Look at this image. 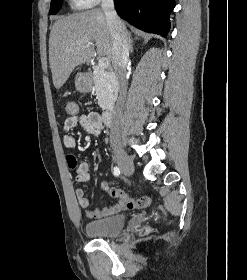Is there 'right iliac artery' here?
Returning a JSON list of instances; mask_svg holds the SVG:
<instances>
[{"instance_id": "82829eb1", "label": "right iliac artery", "mask_w": 247, "mask_h": 280, "mask_svg": "<svg viewBox=\"0 0 247 280\" xmlns=\"http://www.w3.org/2000/svg\"><path fill=\"white\" fill-rule=\"evenodd\" d=\"M113 174L117 177L120 174V169L118 167H114Z\"/></svg>"}]
</instances>
